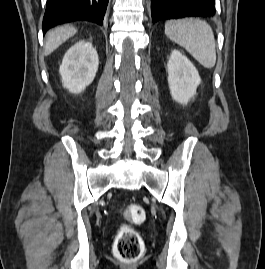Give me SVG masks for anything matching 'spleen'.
I'll use <instances>...</instances> for the list:
<instances>
[{"label":"spleen","mask_w":265,"mask_h":269,"mask_svg":"<svg viewBox=\"0 0 265 269\" xmlns=\"http://www.w3.org/2000/svg\"><path fill=\"white\" fill-rule=\"evenodd\" d=\"M165 34L205 68L215 66V39L208 23L195 18L168 21L165 24Z\"/></svg>","instance_id":"spleen-1"}]
</instances>
